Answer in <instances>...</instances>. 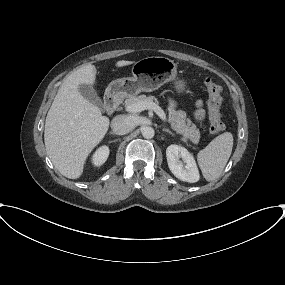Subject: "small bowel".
Listing matches in <instances>:
<instances>
[{
	"label": "small bowel",
	"instance_id": "obj_1",
	"mask_svg": "<svg viewBox=\"0 0 285 285\" xmlns=\"http://www.w3.org/2000/svg\"><path fill=\"white\" fill-rule=\"evenodd\" d=\"M171 104L173 105V102L171 101ZM204 110L202 108V102L201 101H198L197 102V110L195 112V118L197 121H202L203 118H204Z\"/></svg>",
	"mask_w": 285,
	"mask_h": 285
}]
</instances>
